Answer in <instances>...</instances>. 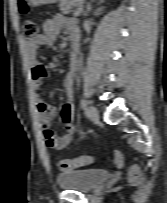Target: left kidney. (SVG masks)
<instances>
[{
    "label": "left kidney",
    "mask_w": 167,
    "mask_h": 203,
    "mask_svg": "<svg viewBox=\"0 0 167 203\" xmlns=\"http://www.w3.org/2000/svg\"><path fill=\"white\" fill-rule=\"evenodd\" d=\"M101 11V9H98L96 12H95V15H99V12Z\"/></svg>",
    "instance_id": "5707ae66"
}]
</instances>
